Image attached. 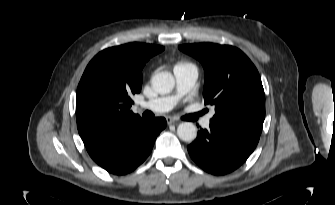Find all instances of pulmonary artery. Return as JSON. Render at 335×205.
<instances>
[{
    "label": "pulmonary artery",
    "mask_w": 335,
    "mask_h": 205,
    "mask_svg": "<svg viewBox=\"0 0 335 205\" xmlns=\"http://www.w3.org/2000/svg\"><path fill=\"white\" fill-rule=\"evenodd\" d=\"M174 77L176 81V93L171 96L159 97L141 103V107L153 112H166L171 110L178 99L188 93L198 78V69L191 63H179L175 65ZM213 114H209L202 120V126L208 127Z\"/></svg>",
    "instance_id": "obj_1"
}]
</instances>
